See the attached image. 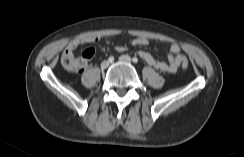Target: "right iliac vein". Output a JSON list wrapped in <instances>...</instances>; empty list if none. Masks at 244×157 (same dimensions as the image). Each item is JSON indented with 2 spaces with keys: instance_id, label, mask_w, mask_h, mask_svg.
Listing matches in <instances>:
<instances>
[{
  "instance_id": "obj_1",
  "label": "right iliac vein",
  "mask_w": 244,
  "mask_h": 157,
  "mask_svg": "<svg viewBox=\"0 0 244 157\" xmlns=\"http://www.w3.org/2000/svg\"><path fill=\"white\" fill-rule=\"evenodd\" d=\"M108 66H109V61H103L102 63H101V69H107L108 68Z\"/></svg>"
}]
</instances>
